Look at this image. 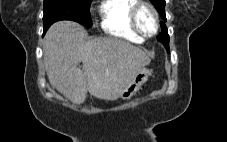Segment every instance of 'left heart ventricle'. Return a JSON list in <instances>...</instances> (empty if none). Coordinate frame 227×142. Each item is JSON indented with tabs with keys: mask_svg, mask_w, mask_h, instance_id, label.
<instances>
[{
	"mask_svg": "<svg viewBox=\"0 0 227 142\" xmlns=\"http://www.w3.org/2000/svg\"><path fill=\"white\" fill-rule=\"evenodd\" d=\"M139 24L146 34H151L155 30V21L152 13L148 9H143L139 14Z\"/></svg>",
	"mask_w": 227,
	"mask_h": 142,
	"instance_id": "left-heart-ventricle-1",
	"label": "left heart ventricle"
}]
</instances>
